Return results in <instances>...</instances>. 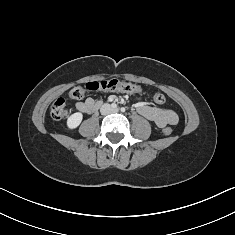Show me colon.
<instances>
[{
    "mask_svg": "<svg viewBox=\"0 0 235 235\" xmlns=\"http://www.w3.org/2000/svg\"><path fill=\"white\" fill-rule=\"evenodd\" d=\"M97 91H115V92H123V93H140L142 89L140 86L131 83L124 82L118 79H102V80H94L87 82L83 85H78L72 88L69 92V96L72 99H82L87 92H97ZM152 100L156 104H164L166 102V98L163 94L157 93L152 95ZM68 114V107L66 101L63 98L57 99L51 106V116L55 120H61L65 118ZM165 136H169L172 133V129L170 127H165L162 130Z\"/></svg>",
    "mask_w": 235,
    "mask_h": 235,
    "instance_id": "colon-1",
    "label": "colon"
}]
</instances>
